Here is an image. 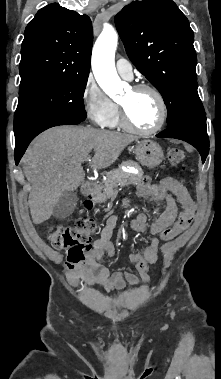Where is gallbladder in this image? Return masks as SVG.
<instances>
[{
  "mask_svg": "<svg viewBox=\"0 0 221 379\" xmlns=\"http://www.w3.org/2000/svg\"><path fill=\"white\" fill-rule=\"evenodd\" d=\"M77 203V194L74 191H65L58 202L54 206L53 216L56 219H64L69 217L76 206Z\"/></svg>",
  "mask_w": 221,
  "mask_h": 379,
  "instance_id": "bac80fb5",
  "label": "gallbladder"
}]
</instances>
